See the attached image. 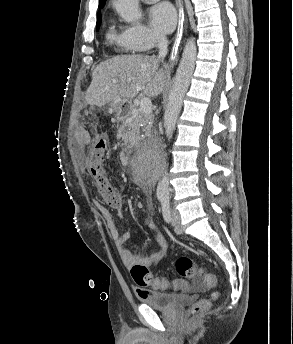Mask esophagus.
Returning <instances> with one entry per match:
<instances>
[{"mask_svg": "<svg viewBox=\"0 0 293 344\" xmlns=\"http://www.w3.org/2000/svg\"><path fill=\"white\" fill-rule=\"evenodd\" d=\"M176 7L178 11V29H177L174 44L172 46V51H171V56H170L171 63H173L177 58L178 46H179V42L181 38L180 26L183 24V20L185 19L182 0H176Z\"/></svg>", "mask_w": 293, "mask_h": 344, "instance_id": "esophagus-1", "label": "esophagus"}]
</instances>
